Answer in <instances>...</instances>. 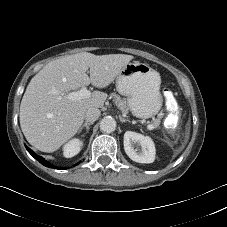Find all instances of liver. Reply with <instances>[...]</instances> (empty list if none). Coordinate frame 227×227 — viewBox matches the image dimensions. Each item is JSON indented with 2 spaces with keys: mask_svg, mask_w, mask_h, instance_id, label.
I'll return each instance as SVG.
<instances>
[{
  "mask_svg": "<svg viewBox=\"0 0 227 227\" xmlns=\"http://www.w3.org/2000/svg\"><path fill=\"white\" fill-rule=\"evenodd\" d=\"M132 59L125 54L81 52L46 64L29 82L20 105V126L27 141L42 152L58 150L77 133L85 112L102 108L108 97L94 91L88 98L71 101L69 92L89 84L106 88Z\"/></svg>",
  "mask_w": 227,
  "mask_h": 227,
  "instance_id": "obj_1",
  "label": "liver"
}]
</instances>
